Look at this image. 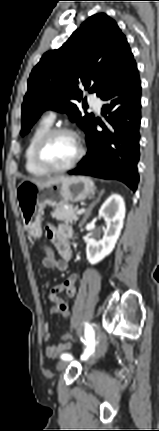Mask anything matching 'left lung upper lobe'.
<instances>
[{"label":"left lung upper lobe","instance_id":"left-lung-upper-lobe-1","mask_svg":"<svg viewBox=\"0 0 159 431\" xmlns=\"http://www.w3.org/2000/svg\"><path fill=\"white\" fill-rule=\"evenodd\" d=\"M133 61L114 20L103 13L89 17L62 47L46 52L33 68L22 104L21 135L48 109L67 113L86 132L94 116L82 117L76 106L82 100L79 85L101 98Z\"/></svg>","mask_w":159,"mask_h":431}]
</instances>
